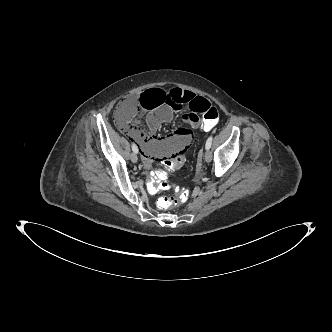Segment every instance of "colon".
<instances>
[{
  "mask_svg": "<svg viewBox=\"0 0 332 332\" xmlns=\"http://www.w3.org/2000/svg\"><path fill=\"white\" fill-rule=\"evenodd\" d=\"M137 98H128L123 100L116 110V117L120 123L126 125L137 112ZM220 113L216 107L209 106L202 112V120L197 125V130L201 134L211 133L215 129V125L219 122ZM193 160V155L189 151H183L179 154L169 155L162 163L164 171L153 173L148 180V190L152 193L172 189L175 190V196L162 197L158 200V205L162 208L178 207L186 202L189 191L180 188L174 183H170L167 179L166 172L175 173L182 170ZM166 171V172H165Z\"/></svg>",
  "mask_w": 332,
  "mask_h": 332,
  "instance_id": "colon-1",
  "label": "colon"
}]
</instances>
